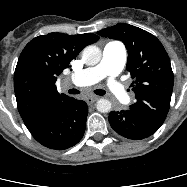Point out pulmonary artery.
Returning a JSON list of instances; mask_svg holds the SVG:
<instances>
[{"label":"pulmonary artery","instance_id":"1","mask_svg":"<svg viewBox=\"0 0 187 187\" xmlns=\"http://www.w3.org/2000/svg\"><path fill=\"white\" fill-rule=\"evenodd\" d=\"M125 62V46L121 42L111 41L105 45L99 64L72 75L70 81L76 86H88L107 78V86L114 96L119 100H125L128 94L123 85L116 80Z\"/></svg>","mask_w":187,"mask_h":187}]
</instances>
